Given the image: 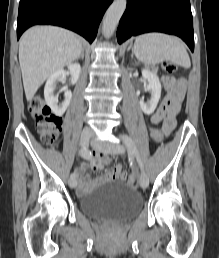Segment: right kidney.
Listing matches in <instances>:
<instances>
[{
	"label": "right kidney",
	"instance_id": "1",
	"mask_svg": "<svg viewBox=\"0 0 219 258\" xmlns=\"http://www.w3.org/2000/svg\"><path fill=\"white\" fill-rule=\"evenodd\" d=\"M68 71L71 74V82L75 84L81 72L80 64L74 63V64L68 65ZM65 79H66V72L63 69H60L55 73H53L47 79V82L44 88L45 101L56 116H62L65 113L72 98L71 91H66L64 93V101L61 104H58V99L54 95V89L57 81H65Z\"/></svg>",
	"mask_w": 219,
	"mask_h": 258
}]
</instances>
